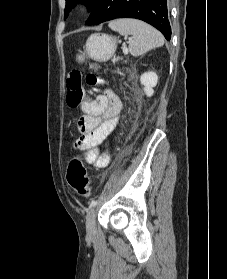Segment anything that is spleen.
Listing matches in <instances>:
<instances>
[{
    "label": "spleen",
    "mask_w": 227,
    "mask_h": 279,
    "mask_svg": "<svg viewBox=\"0 0 227 279\" xmlns=\"http://www.w3.org/2000/svg\"><path fill=\"white\" fill-rule=\"evenodd\" d=\"M108 26L121 35H132L129 51L133 56L143 55L164 44V37L159 31L136 19H118L111 21Z\"/></svg>",
    "instance_id": "obj_1"
}]
</instances>
